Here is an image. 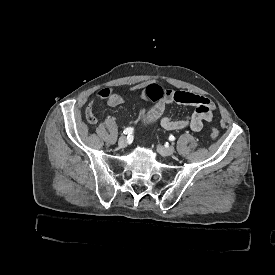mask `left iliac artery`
Returning a JSON list of instances; mask_svg holds the SVG:
<instances>
[{"label":"left iliac artery","mask_w":275,"mask_h":275,"mask_svg":"<svg viewBox=\"0 0 275 275\" xmlns=\"http://www.w3.org/2000/svg\"><path fill=\"white\" fill-rule=\"evenodd\" d=\"M169 140H170V141H174V140H175V137H174L173 135H170V136H169Z\"/></svg>","instance_id":"obj_1"}]
</instances>
